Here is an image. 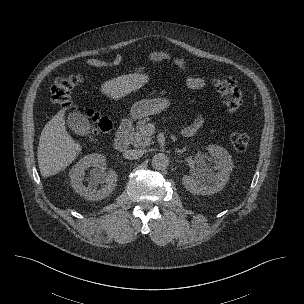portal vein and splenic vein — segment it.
I'll list each match as a JSON object with an SVG mask.
<instances>
[{
    "label": "portal vein and splenic vein",
    "mask_w": 304,
    "mask_h": 304,
    "mask_svg": "<svg viewBox=\"0 0 304 304\" xmlns=\"http://www.w3.org/2000/svg\"><path fill=\"white\" fill-rule=\"evenodd\" d=\"M149 127H150V130H149V131H150V133L152 134V132H153V130H154V126L150 124Z\"/></svg>",
    "instance_id": "portal-vein-and-splenic-vein-1"
}]
</instances>
